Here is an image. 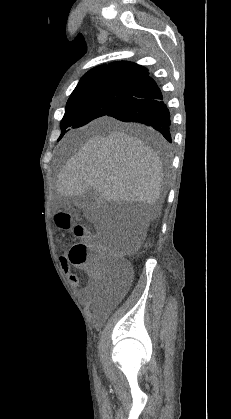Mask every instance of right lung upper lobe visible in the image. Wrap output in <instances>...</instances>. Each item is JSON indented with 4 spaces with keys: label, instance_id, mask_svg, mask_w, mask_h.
I'll list each match as a JSON object with an SVG mask.
<instances>
[{
    "label": "right lung upper lobe",
    "instance_id": "obj_1",
    "mask_svg": "<svg viewBox=\"0 0 231 419\" xmlns=\"http://www.w3.org/2000/svg\"><path fill=\"white\" fill-rule=\"evenodd\" d=\"M148 70L140 65L127 61H118L95 67L88 71L79 81L74 91L105 85H125L135 87L147 76ZM73 91V92H74Z\"/></svg>",
    "mask_w": 231,
    "mask_h": 419
}]
</instances>
